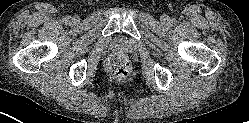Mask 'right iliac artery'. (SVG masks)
Here are the masks:
<instances>
[{
    "instance_id": "82829eb1",
    "label": "right iliac artery",
    "mask_w": 249,
    "mask_h": 123,
    "mask_svg": "<svg viewBox=\"0 0 249 123\" xmlns=\"http://www.w3.org/2000/svg\"><path fill=\"white\" fill-rule=\"evenodd\" d=\"M70 20H71V17H70V16H67V17L65 18V21H66V22H70Z\"/></svg>"
}]
</instances>
